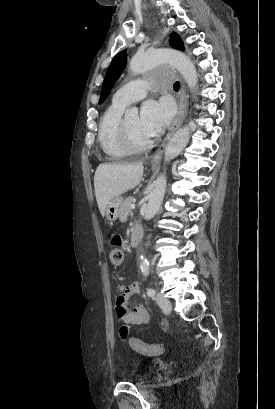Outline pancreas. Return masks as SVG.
Here are the masks:
<instances>
[{"label": "pancreas", "mask_w": 275, "mask_h": 409, "mask_svg": "<svg viewBox=\"0 0 275 409\" xmlns=\"http://www.w3.org/2000/svg\"><path fill=\"white\" fill-rule=\"evenodd\" d=\"M134 196H127L119 209V219L124 223L127 221L129 213H132L130 205H133Z\"/></svg>", "instance_id": "1"}]
</instances>
